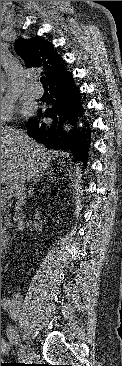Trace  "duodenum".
I'll return each mask as SVG.
<instances>
[{"label":"duodenum","mask_w":122,"mask_h":366,"mask_svg":"<svg viewBox=\"0 0 122 366\" xmlns=\"http://www.w3.org/2000/svg\"><path fill=\"white\" fill-rule=\"evenodd\" d=\"M6 241H7V239H6V237H5L4 233H3V232H2V230H1V249H2V248H3V246L5 245Z\"/></svg>","instance_id":"duodenum-1"}]
</instances>
